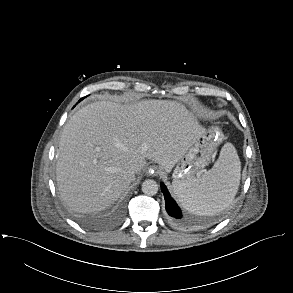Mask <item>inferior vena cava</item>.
<instances>
[{"mask_svg": "<svg viewBox=\"0 0 293 293\" xmlns=\"http://www.w3.org/2000/svg\"><path fill=\"white\" fill-rule=\"evenodd\" d=\"M141 169H142V166L138 163H134L130 168V170L133 174L140 172Z\"/></svg>", "mask_w": 293, "mask_h": 293, "instance_id": "602c4592", "label": "inferior vena cava"}]
</instances>
